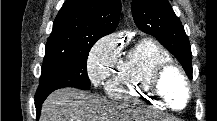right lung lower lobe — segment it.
<instances>
[{
    "mask_svg": "<svg viewBox=\"0 0 217 121\" xmlns=\"http://www.w3.org/2000/svg\"><path fill=\"white\" fill-rule=\"evenodd\" d=\"M48 95H45L43 97L40 98H35V107H36V111H37V119L40 116V112H41V106L44 102V100L47 98Z\"/></svg>",
    "mask_w": 217,
    "mask_h": 121,
    "instance_id": "1",
    "label": "right lung lower lobe"
}]
</instances>
